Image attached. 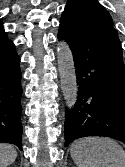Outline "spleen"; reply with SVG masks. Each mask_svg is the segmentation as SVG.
I'll return each instance as SVG.
<instances>
[{
  "instance_id": "1",
  "label": "spleen",
  "mask_w": 125,
  "mask_h": 167,
  "mask_svg": "<svg viewBox=\"0 0 125 167\" xmlns=\"http://www.w3.org/2000/svg\"><path fill=\"white\" fill-rule=\"evenodd\" d=\"M70 153L78 167H125V151L110 138L86 137L75 140Z\"/></svg>"
}]
</instances>
